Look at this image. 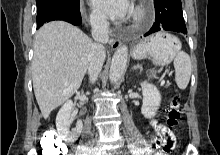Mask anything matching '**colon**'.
<instances>
[{"label":"colon","instance_id":"obj_1","mask_svg":"<svg viewBox=\"0 0 220 155\" xmlns=\"http://www.w3.org/2000/svg\"><path fill=\"white\" fill-rule=\"evenodd\" d=\"M180 119V98L175 95L166 109L165 125H159L158 137L154 144H149V149H153L154 155H171L174 147V136L172 129L178 124ZM43 155H64L65 147L58 141L55 134L46 133L44 135Z\"/></svg>","mask_w":220,"mask_h":155}]
</instances>
